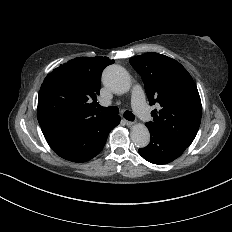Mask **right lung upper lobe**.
<instances>
[{
  "mask_svg": "<svg viewBox=\"0 0 232 232\" xmlns=\"http://www.w3.org/2000/svg\"><path fill=\"white\" fill-rule=\"evenodd\" d=\"M112 63L108 57H80L48 74L38 96L41 128L72 126L108 116L97 110L96 96L102 71Z\"/></svg>",
  "mask_w": 232,
  "mask_h": 232,
  "instance_id": "obj_1",
  "label": "right lung upper lobe"
}]
</instances>
